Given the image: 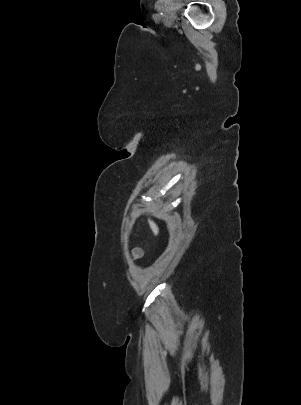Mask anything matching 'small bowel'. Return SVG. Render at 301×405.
Returning a JSON list of instances; mask_svg holds the SVG:
<instances>
[{"label":"small bowel","mask_w":301,"mask_h":405,"mask_svg":"<svg viewBox=\"0 0 301 405\" xmlns=\"http://www.w3.org/2000/svg\"><path fill=\"white\" fill-rule=\"evenodd\" d=\"M143 253V250L139 247H136L132 250V257L133 259L139 258Z\"/></svg>","instance_id":"1"}]
</instances>
